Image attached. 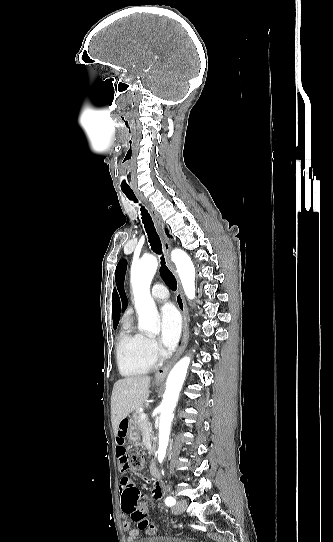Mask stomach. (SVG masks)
I'll list each match as a JSON object with an SVG mask.
<instances>
[{
	"label": "stomach",
	"mask_w": 333,
	"mask_h": 542,
	"mask_svg": "<svg viewBox=\"0 0 333 542\" xmlns=\"http://www.w3.org/2000/svg\"><path fill=\"white\" fill-rule=\"evenodd\" d=\"M156 386H159V384H156ZM139 432L137 430V426L132 420V418H129V422L127 425V440L130 442V444H136V442H139Z\"/></svg>",
	"instance_id": "obj_1"
}]
</instances>
